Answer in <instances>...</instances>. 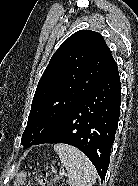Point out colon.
<instances>
[{"mask_svg": "<svg viewBox=\"0 0 138 186\" xmlns=\"http://www.w3.org/2000/svg\"><path fill=\"white\" fill-rule=\"evenodd\" d=\"M27 186H67L65 180L57 174L40 171Z\"/></svg>", "mask_w": 138, "mask_h": 186, "instance_id": "1", "label": "colon"}]
</instances>
